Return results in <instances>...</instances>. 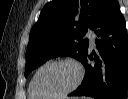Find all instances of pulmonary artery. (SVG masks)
<instances>
[{
	"mask_svg": "<svg viewBox=\"0 0 128 99\" xmlns=\"http://www.w3.org/2000/svg\"><path fill=\"white\" fill-rule=\"evenodd\" d=\"M87 36L89 38L90 47L94 48V46H95V33L92 30H89L87 33Z\"/></svg>",
	"mask_w": 128,
	"mask_h": 99,
	"instance_id": "obj_1",
	"label": "pulmonary artery"
}]
</instances>
